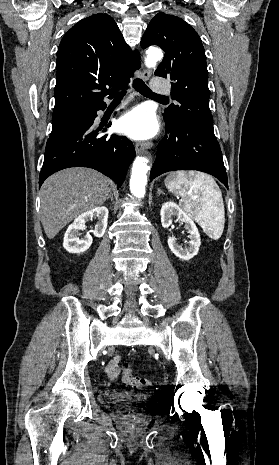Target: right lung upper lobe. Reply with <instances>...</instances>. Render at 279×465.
<instances>
[{
    "label": "right lung upper lobe",
    "instance_id": "right-lung-upper-lobe-1",
    "mask_svg": "<svg viewBox=\"0 0 279 465\" xmlns=\"http://www.w3.org/2000/svg\"><path fill=\"white\" fill-rule=\"evenodd\" d=\"M117 24L95 14L75 24L63 37L57 55L52 125L71 121L118 89L140 67Z\"/></svg>",
    "mask_w": 279,
    "mask_h": 465
}]
</instances>
